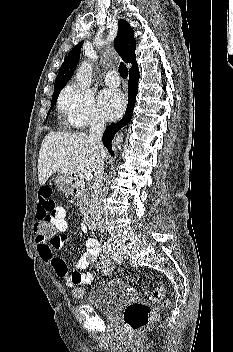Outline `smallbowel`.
<instances>
[{
	"label": "small bowel",
	"mask_w": 233,
	"mask_h": 352,
	"mask_svg": "<svg viewBox=\"0 0 233 352\" xmlns=\"http://www.w3.org/2000/svg\"><path fill=\"white\" fill-rule=\"evenodd\" d=\"M66 215L67 208L56 205L53 189L50 186L41 187L38 191L37 219L49 220L55 231L59 233L60 238L57 241H42L37 238V249L41 259L53 267L58 277L66 283L67 287L74 289L73 275H80L82 284H90L94 280V275L91 272L81 273L80 271L88 267L89 256L99 254L100 244L96 239H88L86 241V251L74 265L75 270L72 273L69 272L65 261L54 255L66 242V236L64 235V232L68 229ZM81 230L82 232L87 231L85 223L81 224Z\"/></svg>",
	"instance_id": "small-bowel-1"
}]
</instances>
